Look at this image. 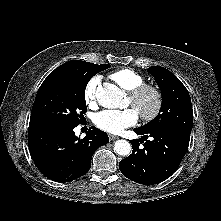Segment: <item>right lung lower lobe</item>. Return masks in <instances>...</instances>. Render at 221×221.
Returning <instances> with one entry per match:
<instances>
[{"label":"right lung lower lobe","instance_id":"98d812e1","mask_svg":"<svg viewBox=\"0 0 221 221\" xmlns=\"http://www.w3.org/2000/svg\"><path fill=\"white\" fill-rule=\"evenodd\" d=\"M76 126L53 127L28 132V145L36 167L56 182L86 174L95 150L109 142L108 135L92 127L85 138L75 136Z\"/></svg>","mask_w":221,"mask_h":221}]
</instances>
